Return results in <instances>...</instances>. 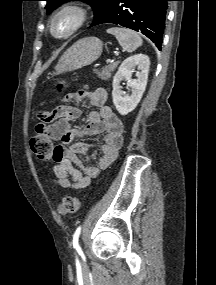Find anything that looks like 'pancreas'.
<instances>
[{"label": "pancreas", "mask_w": 216, "mask_h": 285, "mask_svg": "<svg viewBox=\"0 0 216 285\" xmlns=\"http://www.w3.org/2000/svg\"><path fill=\"white\" fill-rule=\"evenodd\" d=\"M119 61L113 62L100 70H95V73L101 80H108L111 78L112 72L117 68Z\"/></svg>", "instance_id": "pancreas-1"}]
</instances>
